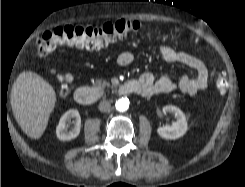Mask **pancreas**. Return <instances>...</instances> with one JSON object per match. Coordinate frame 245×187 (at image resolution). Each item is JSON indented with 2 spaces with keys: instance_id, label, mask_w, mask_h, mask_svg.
<instances>
[{
  "instance_id": "cf45deb5",
  "label": "pancreas",
  "mask_w": 245,
  "mask_h": 187,
  "mask_svg": "<svg viewBox=\"0 0 245 187\" xmlns=\"http://www.w3.org/2000/svg\"><path fill=\"white\" fill-rule=\"evenodd\" d=\"M95 87L100 90V91H103L106 87L107 88H115L116 85L114 84H110L109 82L105 81V80H97L95 82Z\"/></svg>"
}]
</instances>
